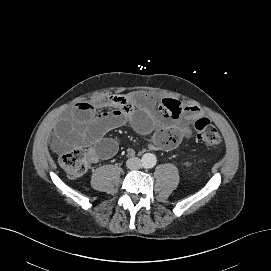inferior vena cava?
<instances>
[{
    "instance_id": "602c4592",
    "label": "inferior vena cava",
    "mask_w": 271,
    "mask_h": 271,
    "mask_svg": "<svg viewBox=\"0 0 271 271\" xmlns=\"http://www.w3.org/2000/svg\"><path fill=\"white\" fill-rule=\"evenodd\" d=\"M126 166L131 170H136L141 167V160L138 157L129 158L126 161Z\"/></svg>"
}]
</instances>
